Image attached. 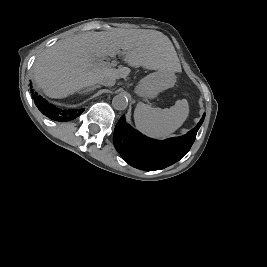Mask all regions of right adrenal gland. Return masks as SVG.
Instances as JSON below:
<instances>
[{
  "label": "right adrenal gland",
  "mask_w": 267,
  "mask_h": 267,
  "mask_svg": "<svg viewBox=\"0 0 267 267\" xmlns=\"http://www.w3.org/2000/svg\"><path fill=\"white\" fill-rule=\"evenodd\" d=\"M101 86L100 85H94V86H92V87H88V88H85L83 91H81V92H79V93H85V94H87L88 92H92V91H94L95 89H97V88H100Z\"/></svg>",
  "instance_id": "2a0ac1e0"
}]
</instances>
